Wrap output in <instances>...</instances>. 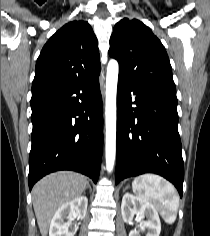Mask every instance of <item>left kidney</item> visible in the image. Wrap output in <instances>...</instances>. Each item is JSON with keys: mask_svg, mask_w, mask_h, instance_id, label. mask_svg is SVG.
Wrapping results in <instances>:
<instances>
[{"mask_svg": "<svg viewBox=\"0 0 210 236\" xmlns=\"http://www.w3.org/2000/svg\"><path fill=\"white\" fill-rule=\"evenodd\" d=\"M121 213L125 222H131L134 215L140 222V228L148 229L147 236H159L161 232V223L156 209L149 202L131 193H125L121 203ZM146 221H143L144 218ZM129 236H139V231L133 229Z\"/></svg>", "mask_w": 210, "mask_h": 236, "instance_id": "obj_1", "label": "left kidney"}]
</instances>
